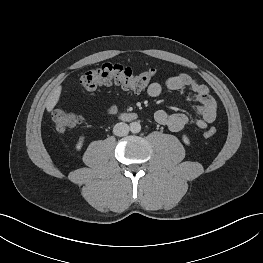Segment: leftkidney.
<instances>
[{
	"instance_id": "obj_1",
	"label": "left kidney",
	"mask_w": 263,
	"mask_h": 263,
	"mask_svg": "<svg viewBox=\"0 0 263 263\" xmlns=\"http://www.w3.org/2000/svg\"><path fill=\"white\" fill-rule=\"evenodd\" d=\"M182 140H183V142H184L186 145H190V140H189V138H188L186 135H183V136H182Z\"/></svg>"
}]
</instances>
